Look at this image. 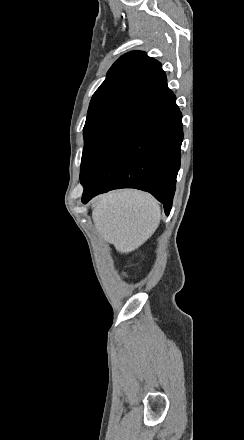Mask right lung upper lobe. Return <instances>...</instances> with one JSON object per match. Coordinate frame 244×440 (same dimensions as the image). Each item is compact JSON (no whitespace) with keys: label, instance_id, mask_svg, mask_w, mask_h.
<instances>
[{"label":"right lung upper lobe","instance_id":"obj_1","mask_svg":"<svg viewBox=\"0 0 244 440\" xmlns=\"http://www.w3.org/2000/svg\"><path fill=\"white\" fill-rule=\"evenodd\" d=\"M166 81V75L158 61L141 51L129 52L113 64L91 102L120 96L141 99Z\"/></svg>","mask_w":244,"mask_h":440}]
</instances>
